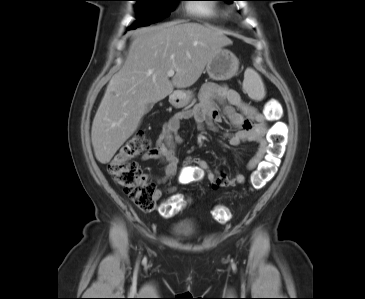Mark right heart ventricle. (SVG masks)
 <instances>
[{
  "label": "right heart ventricle",
  "instance_id": "right-heart-ventricle-1",
  "mask_svg": "<svg viewBox=\"0 0 365 299\" xmlns=\"http://www.w3.org/2000/svg\"><path fill=\"white\" fill-rule=\"evenodd\" d=\"M191 11L203 18L217 19L222 17V11L212 4H197L191 7Z\"/></svg>",
  "mask_w": 365,
  "mask_h": 299
}]
</instances>
